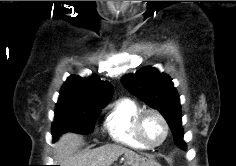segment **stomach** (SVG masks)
<instances>
[{
  "instance_id": "obj_1",
  "label": "stomach",
  "mask_w": 236,
  "mask_h": 166,
  "mask_svg": "<svg viewBox=\"0 0 236 166\" xmlns=\"http://www.w3.org/2000/svg\"><path fill=\"white\" fill-rule=\"evenodd\" d=\"M125 166H131V165H125ZM148 166H160V165L154 161H151V163Z\"/></svg>"
}]
</instances>
